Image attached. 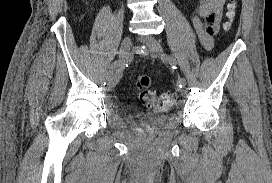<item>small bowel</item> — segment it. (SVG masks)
<instances>
[{"instance_id":"1","label":"small bowel","mask_w":272,"mask_h":183,"mask_svg":"<svg viewBox=\"0 0 272 183\" xmlns=\"http://www.w3.org/2000/svg\"><path fill=\"white\" fill-rule=\"evenodd\" d=\"M226 0H198L192 15V26L206 50L213 48V36L219 29Z\"/></svg>"}]
</instances>
